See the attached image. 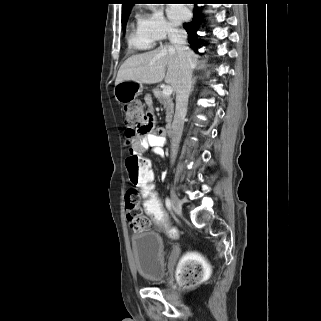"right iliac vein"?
Returning <instances> with one entry per match:
<instances>
[{"mask_svg":"<svg viewBox=\"0 0 321 321\" xmlns=\"http://www.w3.org/2000/svg\"><path fill=\"white\" fill-rule=\"evenodd\" d=\"M171 202L175 213L177 215H181L182 213L181 201L177 196V194L175 193L174 189H171Z\"/></svg>","mask_w":321,"mask_h":321,"instance_id":"obj_1","label":"right iliac vein"}]
</instances>
